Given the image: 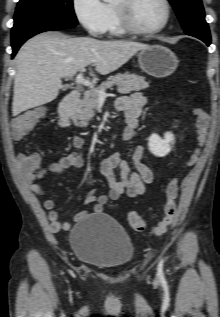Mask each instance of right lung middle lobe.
<instances>
[{"instance_id":"right-lung-middle-lobe-1","label":"right lung middle lobe","mask_w":220,"mask_h":317,"mask_svg":"<svg viewBox=\"0 0 220 317\" xmlns=\"http://www.w3.org/2000/svg\"><path fill=\"white\" fill-rule=\"evenodd\" d=\"M49 20L77 25L72 0H20L14 16L12 33L29 24Z\"/></svg>"}]
</instances>
